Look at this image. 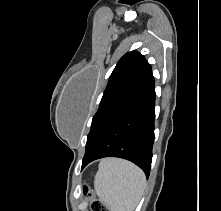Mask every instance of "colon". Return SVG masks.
<instances>
[{
  "mask_svg": "<svg viewBox=\"0 0 221 211\" xmlns=\"http://www.w3.org/2000/svg\"><path fill=\"white\" fill-rule=\"evenodd\" d=\"M85 193L90 197L91 204L90 208L91 211H109L108 207L105 205L104 202L94 197L93 193L88 189L85 190Z\"/></svg>",
  "mask_w": 221,
  "mask_h": 211,
  "instance_id": "obj_1",
  "label": "colon"
}]
</instances>
